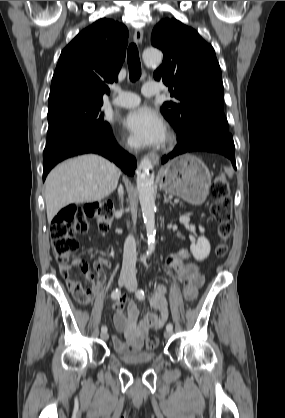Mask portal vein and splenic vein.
<instances>
[{
    "mask_svg": "<svg viewBox=\"0 0 285 418\" xmlns=\"http://www.w3.org/2000/svg\"><path fill=\"white\" fill-rule=\"evenodd\" d=\"M174 202H175V203H178V202H179V200H178V199H175V200H174Z\"/></svg>",
    "mask_w": 285,
    "mask_h": 418,
    "instance_id": "portal-vein-and-splenic-vein-1",
    "label": "portal vein and splenic vein"
}]
</instances>
